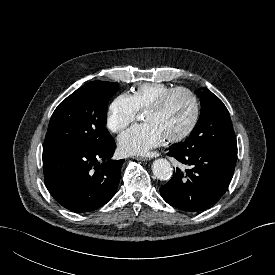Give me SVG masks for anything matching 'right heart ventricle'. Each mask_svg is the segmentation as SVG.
Instances as JSON below:
<instances>
[{
    "label": "right heart ventricle",
    "mask_w": 275,
    "mask_h": 275,
    "mask_svg": "<svg viewBox=\"0 0 275 275\" xmlns=\"http://www.w3.org/2000/svg\"><path fill=\"white\" fill-rule=\"evenodd\" d=\"M169 89H171V87L163 83H143L133 90L131 97L138 110L145 111Z\"/></svg>",
    "instance_id": "e07e8e85"
}]
</instances>
